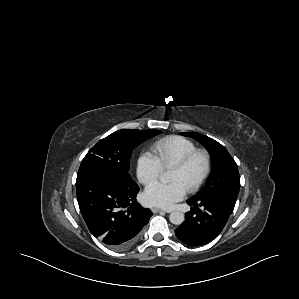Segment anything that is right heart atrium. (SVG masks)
Wrapping results in <instances>:
<instances>
[{
  "label": "right heart atrium",
  "instance_id": "d8ad5b80",
  "mask_svg": "<svg viewBox=\"0 0 299 299\" xmlns=\"http://www.w3.org/2000/svg\"><path fill=\"white\" fill-rule=\"evenodd\" d=\"M163 168L153 154L144 151L136 161V175L142 184H149L155 181L161 174Z\"/></svg>",
  "mask_w": 299,
  "mask_h": 299
}]
</instances>
